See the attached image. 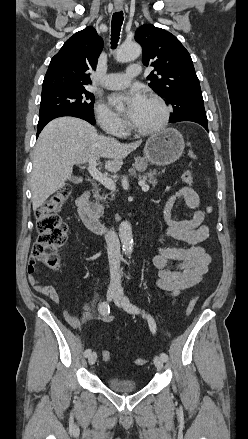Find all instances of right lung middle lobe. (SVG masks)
<instances>
[{"instance_id": "1", "label": "right lung middle lobe", "mask_w": 248, "mask_h": 439, "mask_svg": "<svg viewBox=\"0 0 248 439\" xmlns=\"http://www.w3.org/2000/svg\"><path fill=\"white\" fill-rule=\"evenodd\" d=\"M94 95L85 87L61 90L41 96L39 119L64 111L94 115Z\"/></svg>"}]
</instances>
